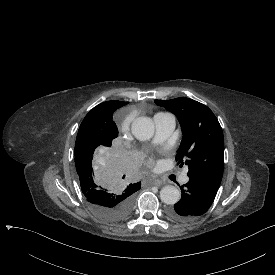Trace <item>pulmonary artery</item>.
<instances>
[{
	"mask_svg": "<svg viewBox=\"0 0 275 275\" xmlns=\"http://www.w3.org/2000/svg\"><path fill=\"white\" fill-rule=\"evenodd\" d=\"M153 121L156 126V135L154 137L155 143L166 139L172 133L176 125V119L171 113H157L153 117ZM180 181L182 184H186L189 181L187 171L183 174Z\"/></svg>",
	"mask_w": 275,
	"mask_h": 275,
	"instance_id": "obj_1",
	"label": "pulmonary artery"
}]
</instances>
